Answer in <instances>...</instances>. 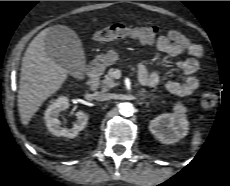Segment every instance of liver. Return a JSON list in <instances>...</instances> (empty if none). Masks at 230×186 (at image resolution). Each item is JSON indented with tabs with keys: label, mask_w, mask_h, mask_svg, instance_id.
I'll return each mask as SVG.
<instances>
[{
	"label": "liver",
	"mask_w": 230,
	"mask_h": 186,
	"mask_svg": "<svg viewBox=\"0 0 230 186\" xmlns=\"http://www.w3.org/2000/svg\"><path fill=\"white\" fill-rule=\"evenodd\" d=\"M50 28L42 30L30 42L22 60L18 111L25 126L43 102L59 90L67 79V70L45 50L44 39Z\"/></svg>",
	"instance_id": "liver-1"
}]
</instances>
